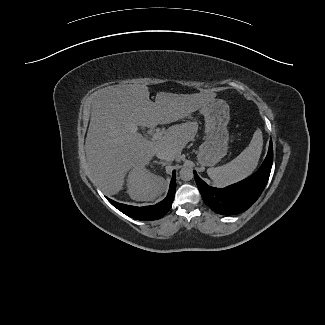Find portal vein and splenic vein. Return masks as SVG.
<instances>
[{
  "instance_id": "1",
  "label": "portal vein and splenic vein",
  "mask_w": 325,
  "mask_h": 325,
  "mask_svg": "<svg viewBox=\"0 0 325 325\" xmlns=\"http://www.w3.org/2000/svg\"><path fill=\"white\" fill-rule=\"evenodd\" d=\"M163 132L161 131H156L155 133H153L152 135V139L153 140H159L162 138Z\"/></svg>"
}]
</instances>
